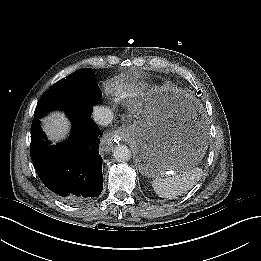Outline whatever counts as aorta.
I'll use <instances>...</instances> for the list:
<instances>
[{
	"label": "aorta",
	"instance_id": "aorta-1",
	"mask_svg": "<svg viewBox=\"0 0 261 261\" xmlns=\"http://www.w3.org/2000/svg\"><path fill=\"white\" fill-rule=\"evenodd\" d=\"M113 157L118 162H126L131 158V151L126 145H117L113 150Z\"/></svg>",
	"mask_w": 261,
	"mask_h": 261
}]
</instances>
